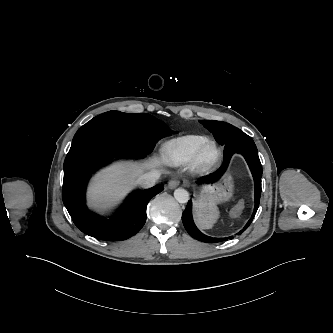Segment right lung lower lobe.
Segmentation results:
<instances>
[{
    "label": "right lung lower lobe",
    "instance_id": "1",
    "mask_svg": "<svg viewBox=\"0 0 333 333\" xmlns=\"http://www.w3.org/2000/svg\"><path fill=\"white\" fill-rule=\"evenodd\" d=\"M146 154L116 138L92 134L72 142L64 162L62 198L74 224L85 234L99 240L120 241L139 232L146 221V207L163 190L156 185L132 193L113 217L90 212L85 204V189L93 171L115 157L141 158Z\"/></svg>",
    "mask_w": 333,
    "mask_h": 333
}]
</instances>
